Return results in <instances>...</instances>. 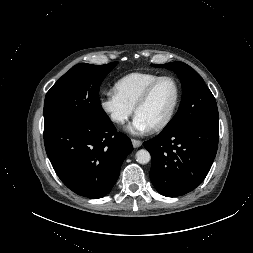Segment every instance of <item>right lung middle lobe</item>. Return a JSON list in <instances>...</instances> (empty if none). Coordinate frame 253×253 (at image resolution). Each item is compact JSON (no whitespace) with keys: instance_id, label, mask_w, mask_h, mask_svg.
<instances>
[{"instance_id":"dd1d6c3e","label":"right lung middle lobe","mask_w":253,"mask_h":253,"mask_svg":"<svg viewBox=\"0 0 253 253\" xmlns=\"http://www.w3.org/2000/svg\"><path fill=\"white\" fill-rule=\"evenodd\" d=\"M117 63H81L65 73L46 94L44 128L62 121H92L107 117L100 103L99 88Z\"/></svg>"}]
</instances>
